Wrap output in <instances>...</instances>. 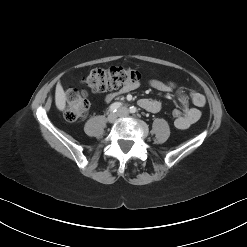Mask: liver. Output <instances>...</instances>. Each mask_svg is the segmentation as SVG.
Masks as SVG:
<instances>
[{
  "mask_svg": "<svg viewBox=\"0 0 247 247\" xmlns=\"http://www.w3.org/2000/svg\"><path fill=\"white\" fill-rule=\"evenodd\" d=\"M55 104L56 107L60 110L63 111L66 106V94L63 90V87L60 82L57 83L56 85V90H55Z\"/></svg>",
  "mask_w": 247,
  "mask_h": 247,
  "instance_id": "6515ba94",
  "label": "liver"
}]
</instances>
